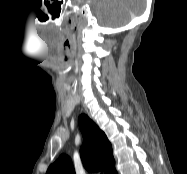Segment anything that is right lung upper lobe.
<instances>
[{
  "label": "right lung upper lobe",
  "instance_id": "cb5924a9",
  "mask_svg": "<svg viewBox=\"0 0 187 174\" xmlns=\"http://www.w3.org/2000/svg\"><path fill=\"white\" fill-rule=\"evenodd\" d=\"M83 145L80 149L81 159L88 171L102 170L104 174H117L112 146L106 135L91 120L89 125L81 128ZM46 174H75L71 159L61 155L49 166Z\"/></svg>",
  "mask_w": 187,
  "mask_h": 174
}]
</instances>
